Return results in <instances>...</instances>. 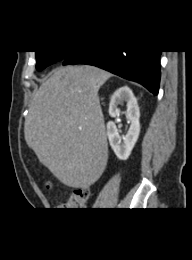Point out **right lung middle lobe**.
Returning a JSON list of instances; mask_svg holds the SVG:
<instances>
[{"label":"right lung middle lobe","mask_w":192,"mask_h":260,"mask_svg":"<svg viewBox=\"0 0 192 260\" xmlns=\"http://www.w3.org/2000/svg\"><path fill=\"white\" fill-rule=\"evenodd\" d=\"M36 52V69L43 70L47 66L64 60L69 54V51H35Z\"/></svg>","instance_id":"1"}]
</instances>
